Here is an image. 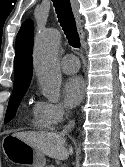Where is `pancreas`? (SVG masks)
<instances>
[{"mask_svg": "<svg viewBox=\"0 0 125 167\" xmlns=\"http://www.w3.org/2000/svg\"><path fill=\"white\" fill-rule=\"evenodd\" d=\"M46 167H54L53 165H49V166H46Z\"/></svg>", "mask_w": 125, "mask_h": 167, "instance_id": "cf45deb5", "label": "pancreas"}]
</instances>
